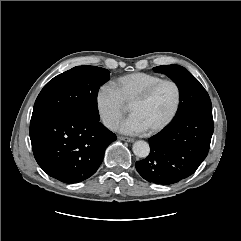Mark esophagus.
Returning a JSON list of instances; mask_svg holds the SVG:
<instances>
[{
    "mask_svg": "<svg viewBox=\"0 0 241 241\" xmlns=\"http://www.w3.org/2000/svg\"><path fill=\"white\" fill-rule=\"evenodd\" d=\"M118 139L123 140V141H127V142H134L133 138L124 137V136H119Z\"/></svg>",
    "mask_w": 241,
    "mask_h": 241,
    "instance_id": "obj_1",
    "label": "esophagus"
}]
</instances>
